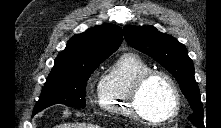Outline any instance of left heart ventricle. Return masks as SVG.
Masks as SVG:
<instances>
[{
    "label": "left heart ventricle",
    "mask_w": 221,
    "mask_h": 128,
    "mask_svg": "<svg viewBox=\"0 0 221 128\" xmlns=\"http://www.w3.org/2000/svg\"><path fill=\"white\" fill-rule=\"evenodd\" d=\"M139 106L151 118H162L170 111L172 94L162 77L156 76L147 81L139 94Z\"/></svg>",
    "instance_id": "b2bd125f"
}]
</instances>
